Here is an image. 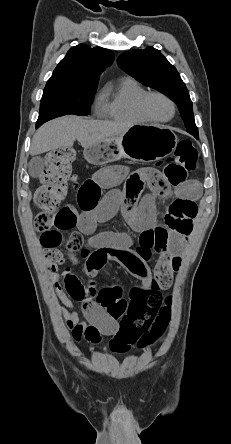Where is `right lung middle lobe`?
Instances as JSON below:
<instances>
[{
    "mask_svg": "<svg viewBox=\"0 0 231 444\" xmlns=\"http://www.w3.org/2000/svg\"><path fill=\"white\" fill-rule=\"evenodd\" d=\"M95 90L96 88L44 89L36 128L50 119L66 114L87 115Z\"/></svg>",
    "mask_w": 231,
    "mask_h": 444,
    "instance_id": "dd1d6c3e",
    "label": "right lung middle lobe"
}]
</instances>
